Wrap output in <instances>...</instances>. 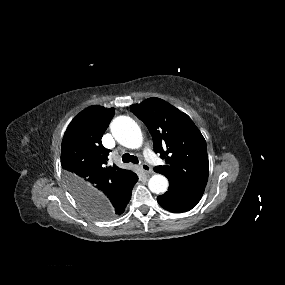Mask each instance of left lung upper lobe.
Here are the masks:
<instances>
[{"label":"left lung upper lobe","instance_id":"5c2ea615","mask_svg":"<svg viewBox=\"0 0 285 285\" xmlns=\"http://www.w3.org/2000/svg\"><path fill=\"white\" fill-rule=\"evenodd\" d=\"M147 126L154 144L166 164L154 170L190 185L205 187L209 174L207 146L193 121L158 98L130 107Z\"/></svg>","mask_w":285,"mask_h":285}]
</instances>
